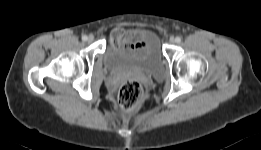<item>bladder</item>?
<instances>
[{
	"label": "bladder",
	"instance_id": "bladder-1",
	"mask_svg": "<svg viewBox=\"0 0 261 150\" xmlns=\"http://www.w3.org/2000/svg\"><path fill=\"white\" fill-rule=\"evenodd\" d=\"M128 41L107 46L103 53L105 68L112 71L138 70L153 76L164 71V57L157 36L148 29H135L128 33Z\"/></svg>",
	"mask_w": 261,
	"mask_h": 150
}]
</instances>
